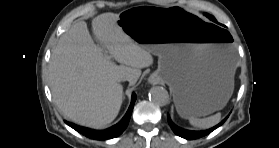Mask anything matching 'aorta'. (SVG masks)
I'll list each match as a JSON object with an SVG mask.
<instances>
[{
	"instance_id": "obj_1",
	"label": "aorta",
	"mask_w": 279,
	"mask_h": 148,
	"mask_svg": "<svg viewBox=\"0 0 279 148\" xmlns=\"http://www.w3.org/2000/svg\"><path fill=\"white\" fill-rule=\"evenodd\" d=\"M149 98L159 106H165L169 103L168 91L162 86H155L150 89Z\"/></svg>"
}]
</instances>
